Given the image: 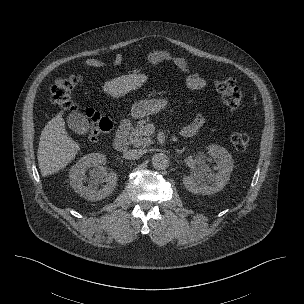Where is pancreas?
Listing matches in <instances>:
<instances>
[{
  "label": "pancreas",
  "instance_id": "obj_1",
  "mask_svg": "<svg viewBox=\"0 0 304 304\" xmlns=\"http://www.w3.org/2000/svg\"><path fill=\"white\" fill-rule=\"evenodd\" d=\"M128 141L137 148H144L151 144V134L145 120L139 121L135 128L128 133Z\"/></svg>",
  "mask_w": 304,
  "mask_h": 304
}]
</instances>
